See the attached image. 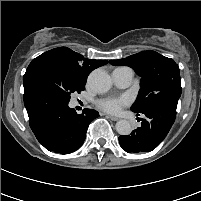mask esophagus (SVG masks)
<instances>
[{
  "label": "esophagus",
  "instance_id": "esophagus-1",
  "mask_svg": "<svg viewBox=\"0 0 201 201\" xmlns=\"http://www.w3.org/2000/svg\"><path fill=\"white\" fill-rule=\"evenodd\" d=\"M107 118L111 119L112 121H118L119 118L116 116H112V115H106Z\"/></svg>",
  "mask_w": 201,
  "mask_h": 201
}]
</instances>
